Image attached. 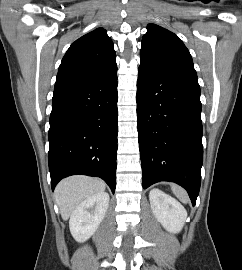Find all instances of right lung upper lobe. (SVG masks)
<instances>
[{
  "label": "right lung upper lobe",
  "instance_id": "cb5924a9",
  "mask_svg": "<svg viewBox=\"0 0 242 270\" xmlns=\"http://www.w3.org/2000/svg\"><path fill=\"white\" fill-rule=\"evenodd\" d=\"M116 65L114 44L103 28L76 40L59 66L54 93L83 83Z\"/></svg>",
  "mask_w": 242,
  "mask_h": 270
}]
</instances>
